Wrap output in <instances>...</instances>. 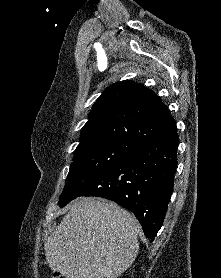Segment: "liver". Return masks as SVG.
<instances>
[{
    "label": "liver",
    "instance_id": "obj_1",
    "mask_svg": "<svg viewBox=\"0 0 221 278\" xmlns=\"http://www.w3.org/2000/svg\"><path fill=\"white\" fill-rule=\"evenodd\" d=\"M138 227L116 203L76 199L45 243L46 260L66 278H117L136 258Z\"/></svg>",
    "mask_w": 221,
    "mask_h": 278
}]
</instances>
